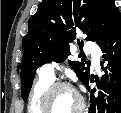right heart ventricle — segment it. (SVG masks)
<instances>
[{"label": "right heart ventricle", "instance_id": "right-heart-ventricle-1", "mask_svg": "<svg viewBox=\"0 0 121 113\" xmlns=\"http://www.w3.org/2000/svg\"><path fill=\"white\" fill-rule=\"evenodd\" d=\"M52 83V78L40 75L31 96V109H42V101L45 89Z\"/></svg>", "mask_w": 121, "mask_h": 113}]
</instances>
